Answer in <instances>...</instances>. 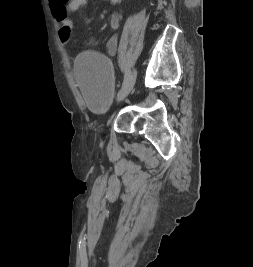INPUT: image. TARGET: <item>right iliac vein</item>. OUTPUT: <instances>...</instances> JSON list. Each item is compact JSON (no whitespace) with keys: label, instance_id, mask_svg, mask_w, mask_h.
Segmentation results:
<instances>
[{"label":"right iliac vein","instance_id":"right-iliac-vein-1","mask_svg":"<svg viewBox=\"0 0 253 267\" xmlns=\"http://www.w3.org/2000/svg\"><path fill=\"white\" fill-rule=\"evenodd\" d=\"M135 80H136V73H135V71H133L131 73L129 79L126 81V83L121 88V90L117 96V100H123L124 98H126L129 95L131 89L133 88Z\"/></svg>","mask_w":253,"mask_h":267}]
</instances>
